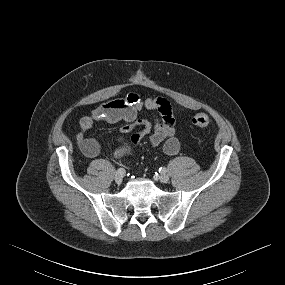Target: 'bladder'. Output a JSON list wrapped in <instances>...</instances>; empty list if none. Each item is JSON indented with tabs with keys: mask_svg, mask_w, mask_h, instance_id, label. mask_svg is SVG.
I'll return each instance as SVG.
<instances>
[{
	"mask_svg": "<svg viewBox=\"0 0 285 285\" xmlns=\"http://www.w3.org/2000/svg\"><path fill=\"white\" fill-rule=\"evenodd\" d=\"M129 145H127L126 143H121L115 150L117 155H124L126 153L129 152Z\"/></svg>",
	"mask_w": 285,
	"mask_h": 285,
	"instance_id": "obj_1",
	"label": "bladder"
}]
</instances>
